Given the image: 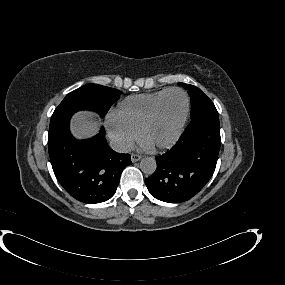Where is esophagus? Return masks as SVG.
<instances>
[{"mask_svg":"<svg viewBox=\"0 0 285 285\" xmlns=\"http://www.w3.org/2000/svg\"><path fill=\"white\" fill-rule=\"evenodd\" d=\"M140 159H141V156H140V155L135 154V153H132V154H131V161H132L133 163L139 161Z\"/></svg>","mask_w":285,"mask_h":285,"instance_id":"esophagus-1","label":"esophagus"}]
</instances>
